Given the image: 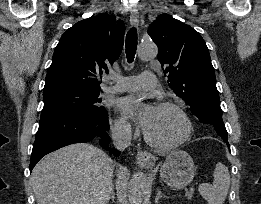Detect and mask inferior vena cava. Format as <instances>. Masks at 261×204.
<instances>
[{"label": "inferior vena cava", "instance_id": "602c4592", "mask_svg": "<svg viewBox=\"0 0 261 204\" xmlns=\"http://www.w3.org/2000/svg\"><path fill=\"white\" fill-rule=\"evenodd\" d=\"M112 140L114 146L124 151L131 144V130L127 126H120L112 129Z\"/></svg>", "mask_w": 261, "mask_h": 204}]
</instances>
